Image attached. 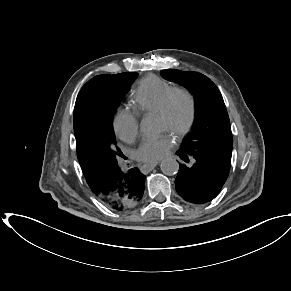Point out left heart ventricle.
<instances>
[{"label": "left heart ventricle", "instance_id": "obj_1", "mask_svg": "<svg viewBox=\"0 0 291 291\" xmlns=\"http://www.w3.org/2000/svg\"><path fill=\"white\" fill-rule=\"evenodd\" d=\"M186 118H187L186 106H185L184 101L180 100L179 107L174 116V124L177 126L182 125L185 122ZM158 124L161 130H168L167 123L160 117H158Z\"/></svg>", "mask_w": 291, "mask_h": 291}]
</instances>
